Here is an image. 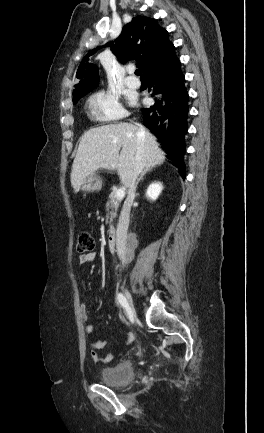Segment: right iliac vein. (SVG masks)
Instances as JSON below:
<instances>
[{
    "instance_id": "right-iliac-vein-1",
    "label": "right iliac vein",
    "mask_w": 264,
    "mask_h": 433,
    "mask_svg": "<svg viewBox=\"0 0 264 433\" xmlns=\"http://www.w3.org/2000/svg\"><path fill=\"white\" fill-rule=\"evenodd\" d=\"M125 296H126V300H127L128 306H129V310L128 311L133 316H135V308H134V305H133V298H132L131 293L127 289L125 290Z\"/></svg>"
}]
</instances>
